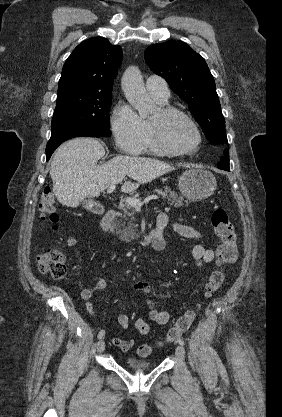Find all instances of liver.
I'll list each match as a JSON object with an SVG mask.
<instances>
[{"label": "liver", "instance_id": "6515ba94", "mask_svg": "<svg viewBox=\"0 0 282 417\" xmlns=\"http://www.w3.org/2000/svg\"><path fill=\"white\" fill-rule=\"evenodd\" d=\"M104 154L105 148L101 142L88 136L72 138L57 148L51 162L50 176L53 192L61 204L79 206L84 198L99 196L111 184L122 182L127 174L137 182L126 180L121 186L122 192H133L139 184L151 182L175 170L164 160L127 154H118L104 164H97Z\"/></svg>", "mask_w": 282, "mask_h": 417}]
</instances>
